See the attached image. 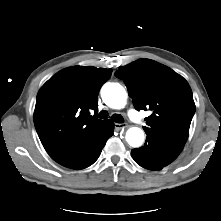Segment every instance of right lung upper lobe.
Listing matches in <instances>:
<instances>
[{"instance_id": "1", "label": "right lung upper lobe", "mask_w": 221, "mask_h": 221, "mask_svg": "<svg viewBox=\"0 0 221 221\" xmlns=\"http://www.w3.org/2000/svg\"><path fill=\"white\" fill-rule=\"evenodd\" d=\"M112 69L70 67L51 77L39 90L34 111L38 136L50 157L57 161L91 136L106 120L98 111V93Z\"/></svg>"}]
</instances>
